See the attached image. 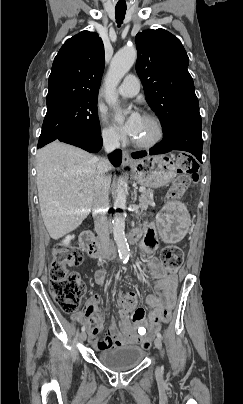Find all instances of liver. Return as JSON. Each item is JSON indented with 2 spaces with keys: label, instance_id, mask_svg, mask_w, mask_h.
<instances>
[{
  "label": "liver",
  "instance_id": "obj_1",
  "mask_svg": "<svg viewBox=\"0 0 243 404\" xmlns=\"http://www.w3.org/2000/svg\"><path fill=\"white\" fill-rule=\"evenodd\" d=\"M99 158L80 148L52 142L36 156L37 188L45 228L59 240L91 212ZM78 194H83L82 198Z\"/></svg>",
  "mask_w": 243,
  "mask_h": 404
}]
</instances>
